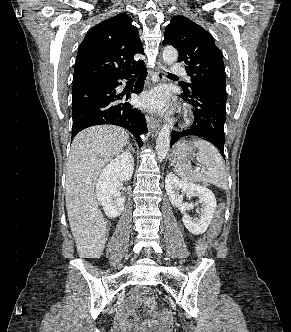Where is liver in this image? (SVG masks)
Masks as SVG:
<instances>
[{
    "label": "liver",
    "instance_id": "liver-1",
    "mask_svg": "<svg viewBox=\"0 0 291 332\" xmlns=\"http://www.w3.org/2000/svg\"><path fill=\"white\" fill-rule=\"evenodd\" d=\"M128 138L122 128L100 125L83 130L72 142L66 167L65 200L77 252L82 258H99L104 250L106 222L94 188L113 157L123 151Z\"/></svg>",
    "mask_w": 291,
    "mask_h": 332
}]
</instances>
